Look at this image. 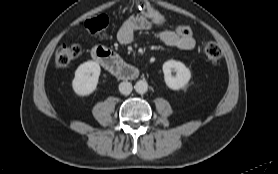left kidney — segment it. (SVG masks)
<instances>
[{
    "mask_svg": "<svg viewBox=\"0 0 278 174\" xmlns=\"http://www.w3.org/2000/svg\"><path fill=\"white\" fill-rule=\"evenodd\" d=\"M172 71L176 73V76L172 75ZM163 73L166 85L172 90L185 88L191 79L190 69L180 61H166L163 64Z\"/></svg>",
    "mask_w": 278,
    "mask_h": 174,
    "instance_id": "obj_1",
    "label": "left kidney"
}]
</instances>
